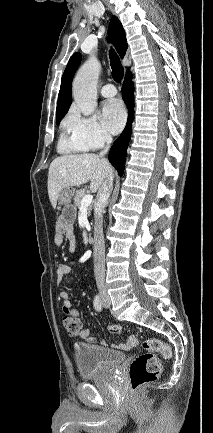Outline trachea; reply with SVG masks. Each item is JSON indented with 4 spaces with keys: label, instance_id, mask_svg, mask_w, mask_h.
I'll use <instances>...</instances> for the list:
<instances>
[{
    "label": "trachea",
    "instance_id": "obj_1",
    "mask_svg": "<svg viewBox=\"0 0 213 433\" xmlns=\"http://www.w3.org/2000/svg\"><path fill=\"white\" fill-rule=\"evenodd\" d=\"M109 57L112 69V77L116 82H120L124 75V68L120 62L119 57L113 49H110Z\"/></svg>",
    "mask_w": 213,
    "mask_h": 433
}]
</instances>
